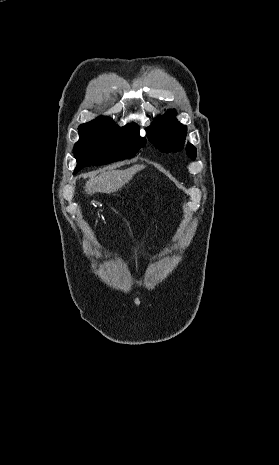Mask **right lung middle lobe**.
<instances>
[{"label":"right lung middle lobe","instance_id":"right-lung-middle-lobe-1","mask_svg":"<svg viewBox=\"0 0 279 465\" xmlns=\"http://www.w3.org/2000/svg\"><path fill=\"white\" fill-rule=\"evenodd\" d=\"M79 141L74 146L77 167L102 165L133 157L146 144L139 128L98 125L79 130Z\"/></svg>","mask_w":279,"mask_h":465}]
</instances>
